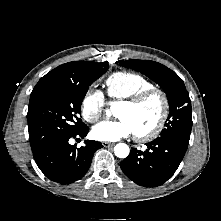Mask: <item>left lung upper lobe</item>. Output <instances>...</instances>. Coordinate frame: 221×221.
Returning <instances> with one entry per match:
<instances>
[{"mask_svg": "<svg viewBox=\"0 0 221 221\" xmlns=\"http://www.w3.org/2000/svg\"><path fill=\"white\" fill-rule=\"evenodd\" d=\"M120 64L145 74L166 93L170 113L157 138L173 139L188 145L193 122L191 100L183 80L174 71L154 61L132 59Z\"/></svg>", "mask_w": 221, "mask_h": 221, "instance_id": "5c2ea615", "label": "left lung upper lobe"}]
</instances>
